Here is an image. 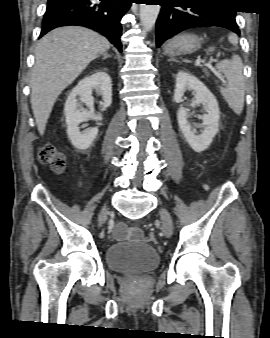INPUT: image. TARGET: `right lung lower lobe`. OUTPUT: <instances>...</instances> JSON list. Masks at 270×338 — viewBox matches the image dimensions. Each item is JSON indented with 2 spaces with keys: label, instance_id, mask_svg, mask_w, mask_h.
I'll use <instances>...</instances> for the list:
<instances>
[{
  "label": "right lung lower lobe",
  "instance_id": "98d812e1",
  "mask_svg": "<svg viewBox=\"0 0 270 338\" xmlns=\"http://www.w3.org/2000/svg\"><path fill=\"white\" fill-rule=\"evenodd\" d=\"M132 2L133 0H48L40 37L60 26H85L106 36L121 52L120 20Z\"/></svg>",
  "mask_w": 270,
  "mask_h": 338
}]
</instances>
